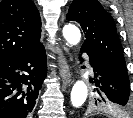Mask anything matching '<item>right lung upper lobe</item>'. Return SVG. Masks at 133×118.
Returning <instances> with one entry per match:
<instances>
[{
	"label": "right lung upper lobe",
	"instance_id": "right-lung-upper-lobe-1",
	"mask_svg": "<svg viewBox=\"0 0 133 118\" xmlns=\"http://www.w3.org/2000/svg\"><path fill=\"white\" fill-rule=\"evenodd\" d=\"M41 19L32 0L0 2V65L41 45Z\"/></svg>",
	"mask_w": 133,
	"mask_h": 118
}]
</instances>
